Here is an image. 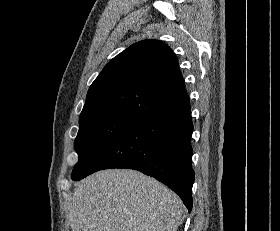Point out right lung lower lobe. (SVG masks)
Masks as SVG:
<instances>
[{
  "instance_id": "98d812e1",
  "label": "right lung lower lobe",
  "mask_w": 280,
  "mask_h": 231,
  "mask_svg": "<svg viewBox=\"0 0 280 231\" xmlns=\"http://www.w3.org/2000/svg\"><path fill=\"white\" fill-rule=\"evenodd\" d=\"M192 132L190 101L163 109L124 131L72 180L109 168L138 170L170 187L191 212Z\"/></svg>"
}]
</instances>
